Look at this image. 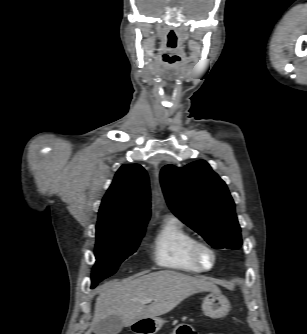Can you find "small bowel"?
I'll list each match as a JSON object with an SVG mask.
<instances>
[{
  "label": "small bowel",
  "mask_w": 307,
  "mask_h": 334,
  "mask_svg": "<svg viewBox=\"0 0 307 334\" xmlns=\"http://www.w3.org/2000/svg\"><path fill=\"white\" fill-rule=\"evenodd\" d=\"M173 334H196V333L192 332L189 328H178Z\"/></svg>",
  "instance_id": "small-bowel-1"
}]
</instances>
